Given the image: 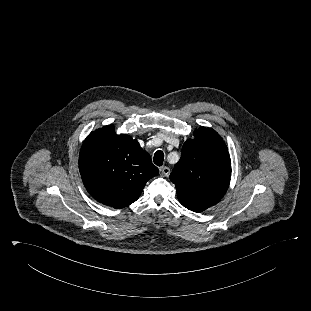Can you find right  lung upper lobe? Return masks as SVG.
Wrapping results in <instances>:
<instances>
[{
	"label": "right lung upper lobe",
	"mask_w": 311,
	"mask_h": 311,
	"mask_svg": "<svg viewBox=\"0 0 311 311\" xmlns=\"http://www.w3.org/2000/svg\"><path fill=\"white\" fill-rule=\"evenodd\" d=\"M79 171L88 193L98 202L122 208L135 202L159 170L132 137L113 125L90 133L80 150Z\"/></svg>",
	"instance_id": "right-lung-upper-lobe-1"
}]
</instances>
